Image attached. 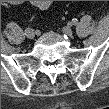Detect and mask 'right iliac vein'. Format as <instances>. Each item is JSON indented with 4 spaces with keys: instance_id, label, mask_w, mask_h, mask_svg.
<instances>
[{
    "instance_id": "obj_1",
    "label": "right iliac vein",
    "mask_w": 109,
    "mask_h": 109,
    "mask_svg": "<svg viewBox=\"0 0 109 109\" xmlns=\"http://www.w3.org/2000/svg\"><path fill=\"white\" fill-rule=\"evenodd\" d=\"M25 34L28 39H34L35 37V32L33 30L26 31Z\"/></svg>"
}]
</instances>
